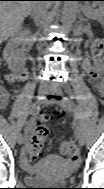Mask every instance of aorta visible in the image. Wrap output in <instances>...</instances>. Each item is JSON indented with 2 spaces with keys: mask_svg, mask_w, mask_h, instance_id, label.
Masks as SVG:
<instances>
[{
  "mask_svg": "<svg viewBox=\"0 0 104 189\" xmlns=\"http://www.w3.org/2000/svg\"><path fill=\"white\" fill-rule=\"evenodd\" d=\"M78 7H79L78 1H63L62 24L65 29L69 28L73 25V23L76 19Z\"/></svg>",
  "mask_w": 104,
  "mask_h": 189,
  "instance_id": "762f6f07",
  "label": "aorta"
}]
</instances>
